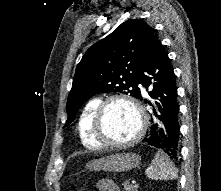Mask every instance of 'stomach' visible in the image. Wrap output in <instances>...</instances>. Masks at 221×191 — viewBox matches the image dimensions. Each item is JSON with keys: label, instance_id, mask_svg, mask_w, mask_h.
<instances>
[{"label": "stomach", "instance_id": "1", "mask_svg": "<svg viewBox=\"0 0 221 191\" xmlns=\"http://www.w3.org/2000/svg\"><path fill=\"white\" fill-rule=\"evenodd\" d=\"M141 157L135 153H116L97 160H92L86 167L89 170H104L109 172H124L136 168Z\"/></svg>", "mask_w": 221, "mask_h": 191}]
</instances>
